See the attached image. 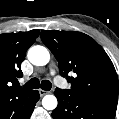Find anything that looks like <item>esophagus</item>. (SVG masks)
<instances>
[{"label": "esophagus", "mask_w": 119, "mask_h": 119, "mask_svg": "<svg viewBox=\"0 0 119 119\" xmlns=\"http://www.w3.org/2000/svg\"><path fill=\"white\" fill-rule=\"evenodd\" d=\"M47 93H48L47 91L39 89V94H40L41 97L46 95Z\"/></svg>", "instance_id": "34e87169"}]
</instances>
